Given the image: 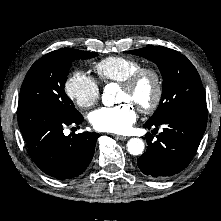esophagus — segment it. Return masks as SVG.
<instances>
[{
	"label": "esophagus",
	"mask_w": 221,
	"mask_h": 221,
	"mask_svg": "<svg viewBox=\"0 0 221 221\" xmlns=\"http://www.w3.org/2000/svg\"><path fill=\"white\" fill-rule=\"evenodd\" d=\"M114 137H115L116 139H118V140H122V141L128 139V137H126V136H120V135H114Z\"/></svg>",
	"instance_id": "34e87169"
}]
</instances>
